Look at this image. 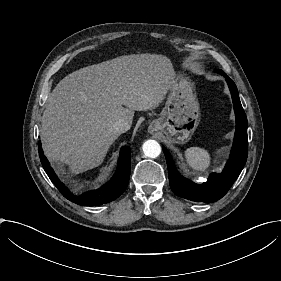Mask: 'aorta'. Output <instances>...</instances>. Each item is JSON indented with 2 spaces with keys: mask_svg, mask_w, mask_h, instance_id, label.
Returning <instances> with one entry per match:
<instances>
[{
  "mask_svg": "<svg viewBox=\"0 0 281 281\" xmlns=\"http://www.w3.org/2000/svg\"><path fill=\"white\" fill-rule=\"evenodd\" d=\"M142 149L144 155L149 158H156L161 153V146L156 140H147L144 142Z\"/></svg>",
  "mask_w": 281,
  "mask_h": 281,
  "instance_id": "obj_1",
  "label": "aorta"
}]
</instances>
